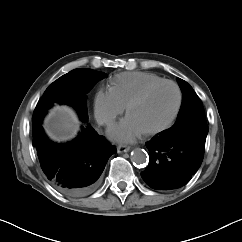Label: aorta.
I'll list each match as a JSON object with an SVG mask.
<instances>
[{
  "instance_id": "1",
  "label": "aorta",
  "mask_w": 242,
  "mask_h": 242,
  "mask_svg": "<svg viewBox=\"0 0 242 242\" xmlns=\"http://www.w3.org/2000/svg\"><path fill=\"white\" fill-rule=\"evenodd\" d=\"M131 158L134 163L138 165L145 164L149 161L148 153L141 148H136L132 151Z\"/></svg>"
}]
</instances>
